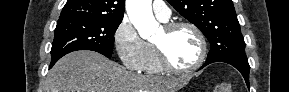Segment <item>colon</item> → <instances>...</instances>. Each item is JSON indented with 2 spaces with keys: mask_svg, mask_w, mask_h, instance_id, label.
<instances>
[{
  "mask_svg": "<svg viewBox=\"0 0 289 92\" xmlns=\"http://www.w3.org/2000/svg\"><path fill=\"white\" fill-rule=\"evenodd\" d=\"M215 92H231L230 85L227 82H221L215 87Z\"/></svg>",
  "mask_w": 289,
  "mask_h": 92,
  "instance_id": "colon-1",
  "label": "colon"
}]
</instances>
